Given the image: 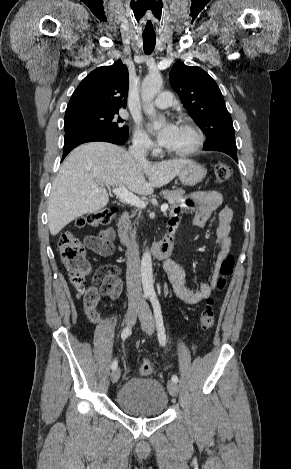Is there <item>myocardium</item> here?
<instances>
[{"mask_svg":"<svg viewBox=\"0 0 291 469\" xmlns=\"http://www.w3.org/2000/svg\"><path fill=\"white\" fill-rule=\"evenodd\" d=\"M179 125L186 126L190 128V130L194 134V142L193 144L186 150L181 151H173L165 149V152L168 155L175 156V157H188L195 154L199 149L202 147L204 143V136L201 129L197 126V124L188 117H183L179 120Z\"/></svg>","mask_w":291,"mask_h":469,"instance_id":"1","label":"myocardium"}]
</instances>
